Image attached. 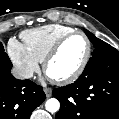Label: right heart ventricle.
Returning <instances> with one entry per match:
<instances>
[{
    "label": "right heart ventricle",
    "instance_id": "obj_1",
    "mask_svg": "<svg viewBox=\"0 0 119 119\" xmlns=\"http://www.w3.org/2000/svg\"><path fill=\"white\" fill-rule=\"evenodd\" d=\"M72 31L75 30L66 25L50 24L24 31L21 33V38L28 51L42 62L53 45Z\"/></svg>",
    "mask_w": 119,
    "mask_h": 119
}]
</instances>
